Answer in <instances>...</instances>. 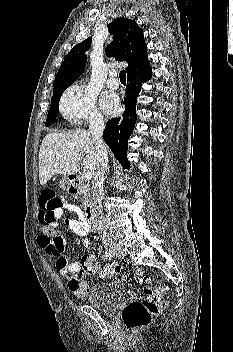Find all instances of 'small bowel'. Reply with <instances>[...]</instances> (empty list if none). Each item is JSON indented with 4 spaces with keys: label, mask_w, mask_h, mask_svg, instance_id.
Here are the masks:
<instances>
[{
    "label": "small bowel",
    "mask_w": 233,
    "mask_h": 352,
    "mask_svg": "<svg viewBox=\"0 0 233 352\" xmlns=\"http://www.w3.org/2000/svg\"><path fill=\"white\" fill-rule=\"evenodd\" d=\"M39 202V221H49L53 227H58L60 225V220L64 216L65 210L71 211L77 214L78 219L66 220L67 226L76 234L80 236H86L90 233V226L86 220V216L81 212V210L69 203H62L57 197L56 192L49 187L43 188L39 192L38 196ZM84 245L92 252H95V247L90 240L84 239ZM38 245L42 249V252L47 257L55 256L58 252L64 249V243L62 245L55 244L53 242L45 240L43 237L39 236ZM55 267L57 272L63 276L69 277L72 274L78 273L82 269V261H77L73 263H68L67 260L62 256H57L55 259ZM68 277V279H69Z\"/></svg>",
    "instance_id": "c3829d8e"
}]
</instances>
